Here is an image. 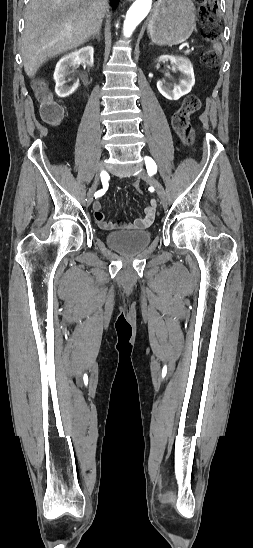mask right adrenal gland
<instances>
[{"label": "right adrenal gland", "mask_w": 253, "mask_h": 548, "mask_svg": "<svg viewBox=\"0 0 253 548\" xmlns=\"http://www.w3.org/2000/svg\"><path fill=\"white\" fill-rule=\"evenodd\" d=\"M94 38H97L98 41H100V30L95 33L90 39H94Z\"/></svg>", "instance_id": "2a0ac1e0"}]
</instances>
